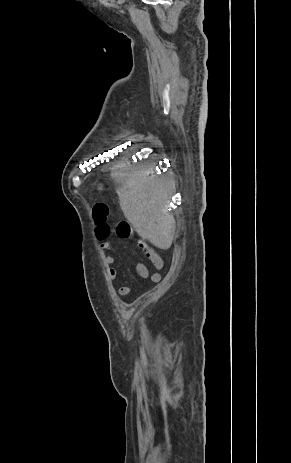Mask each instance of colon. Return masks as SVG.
Wrapping results in <instances>:
<instances>
[{"mask_svg": "<svg viewBox=\"0 0 291 463\" xmlns=\"http://www.w3.org/2000/svg\"><path fill=\"white\" fill-rule=\"evenodd\" d=\"M110 207L106 203H96L92 208V218L95 223V236L97 239L105 242V240L111 235L113 231L116 234L125 239L133 237L132 226L127 221H120L113 226L109 221Z\"/></svg>", "mask_w": 291, "mask_h": 463, "instance_id": "1", "label": "colon"}]
</instances>
